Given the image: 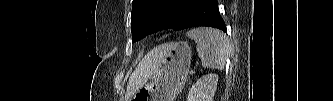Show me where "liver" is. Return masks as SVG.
<instances>
[{
    "instance_id": "6515ba94",
    "label": "liver",
    "mask_w": 333,
    "mask_h": 101,
    "mask_svg": "<svg viewBox=\"0 0 333 101\" xmlns=\"http://www.w3.org/2000/svg\"><path fill=\"white\" fill-rule=\"evenodd\" d=\"M164 49L165 45L156 47L140 61L129 79L125 99L131 98L156 72L161 62V56Z\"/></svg>"
}]
</instances>
